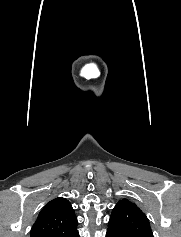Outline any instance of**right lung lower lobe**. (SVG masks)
I'll list each match as a JSON object with an SVG mask.
<instances>
[{
	"label": "right lung lower lobe",
	"mask_w": 181,
	"mask_h": 237,
	"mask_svg": "<svg viewBox=\"0 0 181 237\" xmlns=\"http://www.w3.org/2000/svg\"><path fill=\"white\" fill-rule=\"evenodd\" d=\"M75 237H79V234L77 233V234L75 235Z\"/></svg>",
	"instance_id": "1"
}]
</instances>
